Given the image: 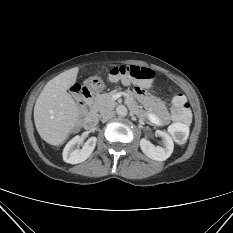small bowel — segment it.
I'll return each mask as SVG.
<instances>
[{
    "label": "small bowel",
    "mask_w": 233,
    "mask_h": 233,
    "mask_svg": "<svg viewBox=\"0 0 233 233\" xmlns=\"http://www.w3.org/2000/svg\"><path fill=\"white\" fill-rule=\"evenodd\" d=\"M135 92L139 100L148 108L149 120L158 126H164L168 121V112L165 106L149 95L141 86L136 87Z\"/></svg>",
    "instance_id": "c3829d8e"
}]
</instances>
